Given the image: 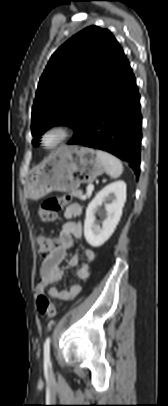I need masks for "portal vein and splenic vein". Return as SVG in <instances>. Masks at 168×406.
I'll return each instance as SVG.
<instances>
[{"instance_id": "portal-vein-and-splenic-vein-1", "label": "portal vein and splenic vein", "mask_w": 168, "mask_h": 406, "mask_svg": "<svg viewBox=\"0 0 168 406\" xmlns=\"http://www.w3.org/2000/svg\"><path fill=\"white\" fill-rule=\"evenodd\" d=\"M93 190H94L93 184H89V185L87 186V193H86V195L84 196V199H86L87 197L91 196Z\"/></svg>"}]
</instances>
